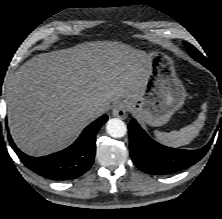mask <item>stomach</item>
Returning a JSON list of instances; mask_svg holds the SVG:
<instances>
[{"mask_svg": "<svg viewBox=\"0 0 222 219\" xmlns=\"http://www.w3.org/2000/svg\"><path fill=\"white\" fill-rule=\"evenodd\" d=\"M149 74L144 90L135 99L125 101L128 111L151 126L166 124L186 99V90L178 79L174 62L165 53L149 54Z\"/></svg>", "mask_w": 222, "mask_h": 219, "instance_id": "obj_1", "label": "stomach"}]
</instances>
